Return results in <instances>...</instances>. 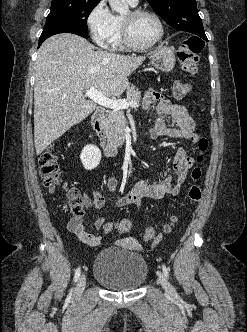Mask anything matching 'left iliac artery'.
Returning <instances> with one entry per match:
<instances>
[{
    "mask_svg": "<svg viewBox=\"0 0 247 332\" xmlns=\"http://www.w3.org/2000/svg\"><path fill=\"white\" fill-rule=\"evenodd\" d=\"M162 269H163V273L165 275L166 278L169 277V269L166 267V265H162Z\"/></svg>",
    "mask_w": 247,
    "mask_h": 332,
    "instance_id": "left-iliac-artery-1",
    "label": "left iliac artery"
}]
</instances>
